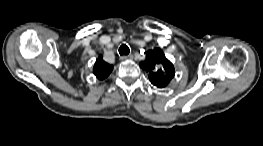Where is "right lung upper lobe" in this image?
Returning a JSON list of instances; mask_svg holds the SVG:
<instances>
[{
  "instance_id": "right-lung-upper-lobe-1",
  "label": "right lung upper lobe",
  "mask_w": 263,
  "mask_h": 146,
  "mask_svg": "<svg viewBox=\"0 0 263 146\" xmlns=\"http://www.w3.org/2000/svg\"><path fill=\"white\" fill-rule=\"evenodd\" d=\"M113 66L106 63L101 56L96 60L93 73L99 80H103L112 72Z\"/></svg>"
}]
</instances>
